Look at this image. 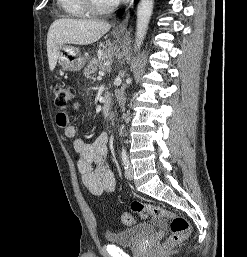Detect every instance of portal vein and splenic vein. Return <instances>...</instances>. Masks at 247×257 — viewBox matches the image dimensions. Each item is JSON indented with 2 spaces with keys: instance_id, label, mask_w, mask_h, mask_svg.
Returning a JSON list of instances; mask_svg holds the SVG:
<instances>
[{
  "instance_id": "obj_1",
  "label": "portal vein and splenic vein",
  "mask_w": 247,
  "mask_h": 257,
  "mask_svg": "<svg viewBox=\"0 0 247 257\" xmlns=\"http://www.w3.org/2000/svg\"><path fill=\"white\" fill-rule=\"evenodd\" d=\"M104 72H99V77L103 76Z\"/></svg>"
}]
</instances>
